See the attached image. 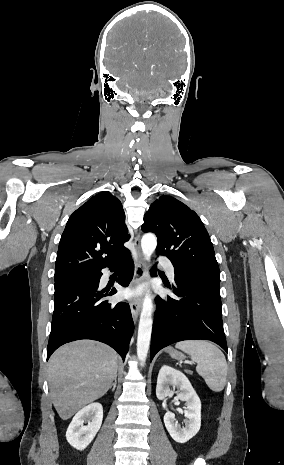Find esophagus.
Wrapping results in <instances>:
<instances>
[{"mask_svg":"<svg viewBox=\"0 0 284 465\" xmlns=\"http://www.w3.org/2000/svg\"><path fill=\"white\" fill-rule=\"evenodd\" d=\"M134 244L138 253V257L134 267V276L131 283L132 288L138 286L145 280V262L140 249L139 235H137V237L135 238ZM129 303L133 320L136 323L142 306V298H132Z\"/></svg>","mask_w":284,"mask_h":465,"instance_id":"obj_1","label":"esophagus"}]
</instances>
